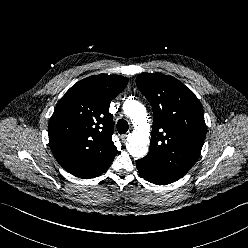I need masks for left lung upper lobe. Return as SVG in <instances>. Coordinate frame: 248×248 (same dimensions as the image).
<instances>
[{
	"instance_id": "left-lung-upper-lobe-1",
	"label": "left lung upper lobe",
	"mask_w": 248,
	"mask_h": 248,
	"mask_svg": "<svg viewBox=\"0 0 248 248\" xmlns=\"http://www.w3.org/2000/svg\"><path fill=\"white\" fill-rule=\"evenodd\" d=\"M136 84L153 108L147 159L175 178L184 176L200 156L206 136L203 108L194 93L172 76L147 73Z\"/></svg>"
}]
</instances>
